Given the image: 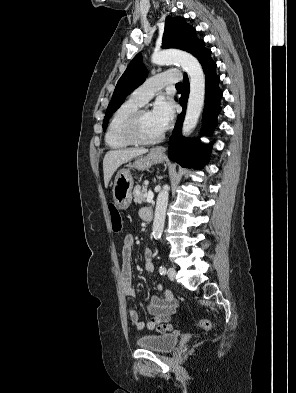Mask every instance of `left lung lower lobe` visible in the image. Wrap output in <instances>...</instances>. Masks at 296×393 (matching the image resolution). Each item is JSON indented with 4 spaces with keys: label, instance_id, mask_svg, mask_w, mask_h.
<instances>
[{
    "label": "left lung lower lobe",
    "instance_id": "1",
    "mask_svg": "<svg viewBox=\"0 0 296 393\" xmlns=\"http://www.w3.org/2000/svg\"><path fill=\"white\" fill-rule=\"evenodd\" d=\"M206 77L205 109L203 113V134L212 133L217 125V115L221 110L220 98L222 92L219 89V76L216 75V63L211 59V51L200 61ZM184 92L180 98L183 107L182 113L177 118L173 134L169 139L168 157L172 161L184 167L201 168L209 159L210 147H205L198 140L185 139L181 135V127L184 120L185 107L189 95V80L184 76Z\"/></svg>",
    "mask_w": 296,
    "mask_h": 393
}]
</instances>
